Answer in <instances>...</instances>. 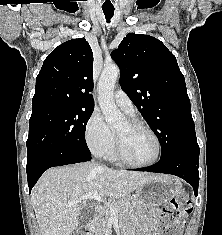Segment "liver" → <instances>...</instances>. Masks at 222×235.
Returning a JSON list of instances; mask_svg holds the SVG:
<instances>
[{
  "label": "liver",
  "instance_id": "1",
  "mask_svg": "<svg viewBox=\"0 0 222 235\" xmlns=\"http://www.w3.org/2000/svg\"><path fill=\"white\" fill-rule=\"evenodd\" d=\"M157 176L80 163L48 169L34 186L31 203L42 235H71L79 223L83 195L97 191L110 199H125Z\"/></svg>",
  "mask_w": 222,
  "mask_h": 235
}]
</instances>
